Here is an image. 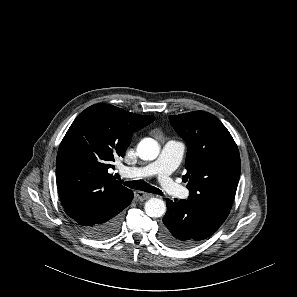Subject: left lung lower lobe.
I'll use <instances>...</instances> for the list:
<instances>
[{
  "mask_svg": "<svg viewBox=\"0 0 297 297\" xmlns=\"http://www.w3.org/2000/svg\"><path fill=\"white\" fill-rule=\"evenodd\" d=\"M162 241L174 249H189L211 236L230 210L203 206L188 200H166Z\"/></svg>",
  "mask_w": 297,
  "mask_h": 297,
  "instance_id": "0a47b994",
  "label": "left lung lower lobe"
}]
</instances>
